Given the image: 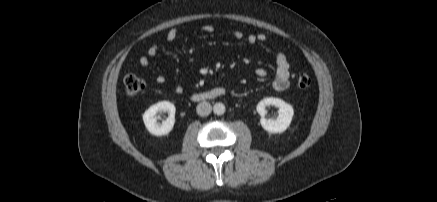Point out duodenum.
Here are the masks:
<instances>
[{
  "instance_id": "1",
  "label": "duodenum",
  "mask_w": 437,
  "mask_h": 202,
  "mask_svg": "<svg viewBox=\"0 0 437 202\" xmlns=\"http://www.w3.org/2000/svg\"><path fill=\"white\" fill-rule=\"evenodd\" d=\"M225 94V90L221 87L213 88L203 92H197L192 95L195 101L208 100L220 97Z\"/></svg>"
}]
</instances>
